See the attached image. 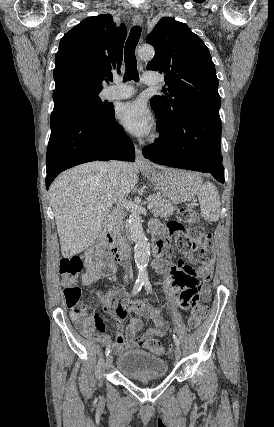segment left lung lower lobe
Segmentation results:
<instances>
[{
    "mask_svg": "<svg viewBox=\"0 0 274 427\" xmlns=\"http://www.w3.org/2000/svg\"><path fill=\"white\" fill-rule=\"evenodd\" d=\"M153 110L158 118L161 138L143 148L144 157L161 165L210 172L224 183L219 114L192 110L182 114L167 128L162 122V115Z\"/></svg>",
    "mask_w": 274,
    "mask_h": 427,
    "instance_id": "1",
    "label": "left lung lower lobe"
}]
</instances>
